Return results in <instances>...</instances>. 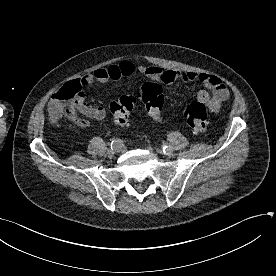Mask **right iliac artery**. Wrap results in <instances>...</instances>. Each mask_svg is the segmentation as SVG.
Instances as JSON below:
<instances>
[{
  "label": "right iliac artery",
  "mask_w": 276,
  "mask_h": 276,
  "mask_svg": "<svg viewBox=\"0 0 276 276\" xmlns=\"http://www.w3.org/2000/svg\"><path fill=\"white\" fill-rule=\"evenodd\" d=\"M123 142L120 139H113L111 142V148L113 147H122Z\"/></svg>",
  "instance_id": "1"
}]
</instances>
